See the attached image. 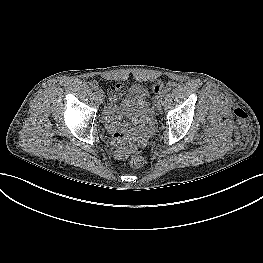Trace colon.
Listing matches in <instances>:
<instances>
[{"mask_svg":"<svg viewBox=\"0 0 263 263\" xmlns=\"http://www.w3.org/2000/svg\"><path fill=\"white\" fill-rule=\"evenodd\" d=\"M161 89V85L157 84L154 87L155 92H159V90ZM118 95L117 92L115 91H111V97H116ZM113 137L117 140H121L123 138V135H121L120 133H114ZM144 160L143 157L140 155H135L130 159V166L133 168H139L143 165Z\"/></svg>","mask_w":263,"mask_h":263,"instance_id":"colon-1","label":"colon"}]
</instances>
